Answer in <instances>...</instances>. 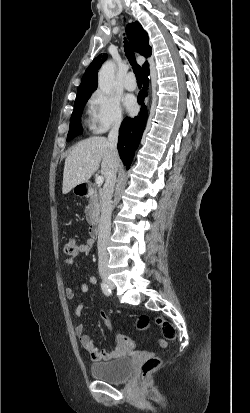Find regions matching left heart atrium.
<instances>
[{
  "label": "left heart atrium",
  "instance_id": "left-heart-atrium-1",
  "mask_svg": "<svg viewBox=\"0 0 250 413\" xmlns=\"http://www.w3.org/2000/svg\"><path fill=\"white\" fill-rule=\"evenodd\" d=\"M124 104L128 111L132 112L136 108V102L133 96H130V95L126 96L124 99Z\"/></svg>",
  "mask_w": 250,
  "mask_h": 413
}]
</instances>
